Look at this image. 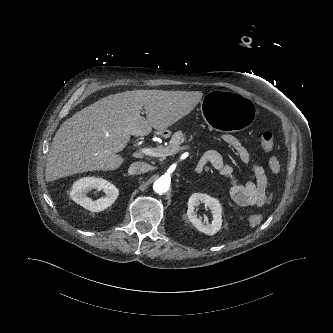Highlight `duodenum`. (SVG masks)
Returning a JSON list of instances; mask_svg holds the SVG:
<instances>
[{
    "label": "duodenum",
    "mask_w": 333,
    "mask_h": 333,
    "mask_svg": "<svg viewBox=\"0 0 333 333\" xmlns=\"http://www.w3.org/2000/svg\"><path fill=\"white\" fill-rule=\"evenodd\" d=\"M157 135H159V133H157ZM201 170H202V166L200 164H197L196 171L201 172Z\"/></svg>",
    "instance_id": "1"
}]
</instances>
